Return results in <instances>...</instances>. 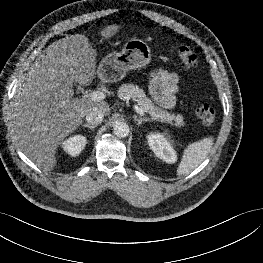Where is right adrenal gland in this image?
Here are the masks:
<instances>
[{
    "mask_svg": "<svg viewBox=\"0 0 263 263\" xmlns=\"http://www.w3.org/2000/svg\"><path fill=\"white\" fill-rule=\"evenodd\" d=\"M83 127L89 128L91 130H93L94 128H96V125H89V124H81Z\"/></svg>",
    "mask_w": 263,
    "mask_h": 263,
    "instance_id": "right-adrenal-gland-1",
    "label": "right adrenal gland"
}]
</instances>
